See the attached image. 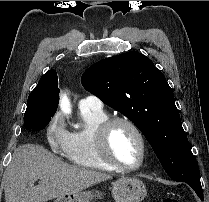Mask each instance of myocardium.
Wrapping results in <instances>:
<instances>
[{
    "mask_svg": "<svg viewBox=\"0 0 209 202\" xmlns=\"http://www.w3.org/2000/svg\"><path fill=\"white\" fill-rule=\"evenodd\" d=\"M117 124H125L129 126L137 135L141 146V157L139 162L134 166L124 165L113 158L109 148V136L113 127ZM95 146L101 159L110 168L134 172L142 168L147 157V141L141 128L131 119L123 116H114L105 120L95 133Z\"/></svg>",
    "mask_w": 209,
    "mask_h": 202,
    "instance_id": "obj_1",
    "label": "myocardium"
}]
</instances>
